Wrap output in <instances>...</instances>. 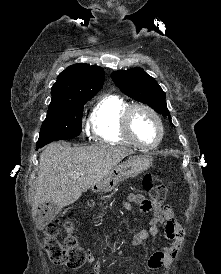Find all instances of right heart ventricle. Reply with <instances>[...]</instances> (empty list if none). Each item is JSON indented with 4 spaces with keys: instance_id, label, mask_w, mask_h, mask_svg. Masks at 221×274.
Segmentation results:
<instances>
[{
    "instance_id": "obj_1",
    "label": "right heart ventricle",
    "mask_w": 221,
    "mask_h": 274,
    "mask_svg": "<svg viewBox=\"0 0 221 274\" xmlns=\"http://www.w3.org/2000/svg\"><path fill=\"white\" fill-rule=\"evenodd\" d=\"M131 103L118 94H105L93 106L90 123L94 136L103 142L134 145L125 135L123 115Z\"/></svg>"
}]
</instances>
